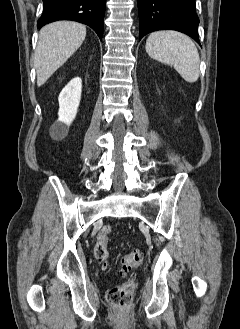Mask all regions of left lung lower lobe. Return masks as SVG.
<instances>
[{"instance_id":"left-lung-lower-lobe-1","label":"left lung lower lobe","mask_w":240,"mask_h":329,"mask_svg":"<svg viewBox=\"0 0 240 329\" xmlns=\"http://www.w3.org/2000/svg\"><path fill=\"white\" fill-rule=\"evenodd\" d=\"M139 41L162 29L180 31L200 44L195 0H138Z\"/></svg>"}]
</instances>
